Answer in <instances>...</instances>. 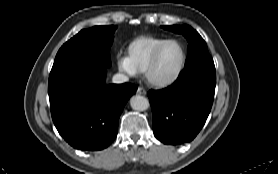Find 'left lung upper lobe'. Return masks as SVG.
<instances>
[{
    "mask_svg": "<svg viewBox=\"0 0 278 174\" xmlns=\"http://www.w3.org/2000/svg\"><path fill=\"white\" fill-rule=\"evenodd\" d=\"M165 30L182 34L189 42L188 57L185 67L179 76H187L197 72H207L215 75V66L207 45L196 30L188 25L162 26Z\"/></svg>",
    "mask_w": 278,
    "mask_h": 174,
    "instance_id": "1",
    "label": "left lung upper lobe"
}]
</instances>
